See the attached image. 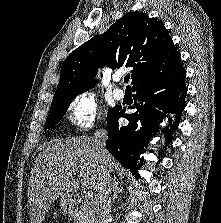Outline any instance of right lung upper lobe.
<instances>
[{"label":"right lung upper lobe","mask_w":221,"mask_h":223,"mask_svg":"<svg viewBox=\"0 0 221 223\" xmlns=\"http://www.w3.org/2000/svg\"><path fill=\"white\" fill-rule=\"evenodd\" d=\"M124 63L133 67L134 86L141 81L160 79L182 66L165 26L146 13L129 12L65 59L53 101L89 90L93 86L90 79L99 66L115 68Z\"/></svg>","instance_id":"right-lung-upper-lobe-1"}]
</instances>
